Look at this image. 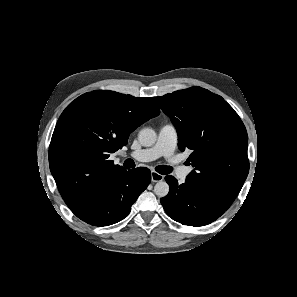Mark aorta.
Returning <instances> with one entry per match:
<instances>
[{"instance_id": "obj_1", "label": "aorta", "mask_w": 297, "mask_h": 297, "mask_svg": "<svg viewBox=\"0 0 297 297\" xmlns=\"http://www.w3.org/2000/svg\"><path fill=\"white\" fill-rule=\"evenodd\" d=\"M156 132L151 128H143L138 134L141 145L150 147L156 142ZM154 193L158 197H165L169 193V185L165 181H158L154 186Z\"/></svg>"}]
</instances>
